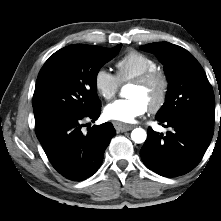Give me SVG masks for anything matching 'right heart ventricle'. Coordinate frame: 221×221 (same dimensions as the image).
<instances>
[{
	"instance_id": "right-heart-ventricle-1",
	"label": "right heart ventricle",
	"mask_w": 221,
	"mask_h": 221,
	"mask_svg": "<svg viewBox=\"0 0 221 221\" xmlns=\"http://www.w3.org/2000/svg\"><path fill=\"white\" fill-rule=\"evenodd\" d=\"M115 67L119 82L126 83L148 71L158 69L159 64L151 56L131 50L116 62Z\"/></svg>"
}]
</instances>
